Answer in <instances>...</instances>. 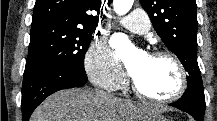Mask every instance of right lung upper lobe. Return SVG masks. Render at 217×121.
<instances>
[{"instance_id":"right-lung-upper-lobe-1","label":"right lung upper lobe","mask_w":217,"mask_h":121,"mask_svg":"<svg viewBox=\"0 0 217 121\" xmlns=\"http://www.w3.org/2000/svg\"><path fill=\"white\" fill-rule=\"evenodd\" d=\"M101 0H37L34 6L32 24L56 22L65 25L96 27Z\"/></svg>"}]
</instances>
